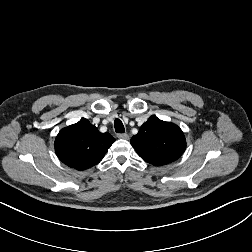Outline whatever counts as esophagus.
I'll list each match as a JSON object with an SVG mask.
<instances>
[{"label":"esophagus","instance_id":"obj_1","mask_svg":"<svg viewBox=\"0 0 252 252\" xmlns=\"http://www.w3.org/2000/svg\"><path fill=\"white\" fill-rule=\"evenodd\" d=\"M117 137L120 139H128L129 135L127 133H120V134H117Z\"/></svg>","mask_w":252,"mask_h":252}]
</instances>
